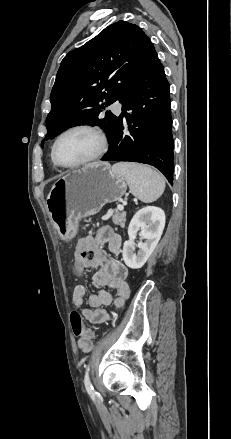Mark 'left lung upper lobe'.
I'll list each match as a JSON object with an SVG mask.
<instances>
[{
  "mask_svg": "<svg viewBox=\"0 0 231 439\" xmlns=\"http://www.w3.org/2000/svg\"><path fill=\"white\" fill-rule=\"evenodd\" d=\"M154 46L135 24L118 21L62 60L51 92L47 134L53 139L76 125H99L113 135L118 116L106 108L123 102ZM106 100V103H102Z\"/></svg>",
  "mask_w": 231,
  "mask_h": 439,
  "instance_id": "1",
  "label": "left lung upper lobe"
}]
</instances>
